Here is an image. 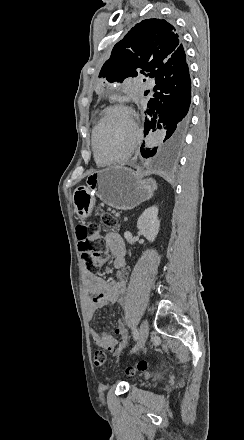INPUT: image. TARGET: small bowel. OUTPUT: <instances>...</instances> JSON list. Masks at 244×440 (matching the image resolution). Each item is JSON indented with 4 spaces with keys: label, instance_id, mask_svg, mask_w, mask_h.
Masks as SVG:
<instances>
[{
    "label": "small bowel",
    "instance_id": "c3829d8e",
    "mask_svg": "<svg viewBox=\"0 0 244 440\" xmlns=\"http://www.w3.org/2000/svg\"><path fill=\"white\" fill-rule=\"evenodd\" d=\"M107 246L112 256V263L117 270L116 278L108 281L89 272L84 273V285L87 295V316L91 319L97 310H102L112 305H124L126 301V271H125V245L122 237L115 231L106 235ZM104 263V260L101 264ZM119 339L113 338L104 331L90 329V337L93 343L117 356L127 348L129 336L122 324L115 328Z\"/></svg>",
    "mask_w": 244,
    "mask_h": 440
}]
</instances>
